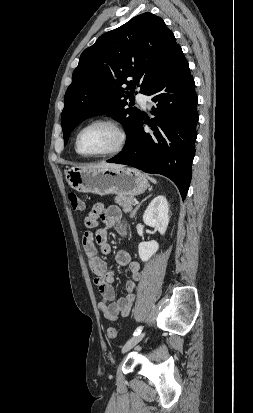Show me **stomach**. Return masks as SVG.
<instances>
[{
  "mask_svg": "<svg viewBox=\"0 0 253 413\" xmlns=\"http://www.w3.org/2000/svg\"><path fill=\"white\" fill-rule=\"evenodd\" d=\"M65 175L66 182L72 189L100 196H135L149 187L146 177L139 170L125 166L107 169L72 167Z\"/></svg>",
  "mask_w": 253,
  "mask_h": 413,
  "instance_id": "0dacf381",
  "label": "stomach"
}]
</instances>
